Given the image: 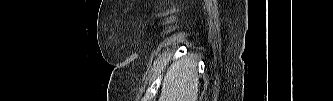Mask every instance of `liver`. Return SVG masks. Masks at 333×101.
<instances>
[{
	"instance_id": "6515ba94",
	"label": "liver",
	"mask_w": 333,
	"mask_h": 101,
	"mask_svg": "<svg viewBox=\"0 0 333 101\" xmlns=\"http://www.w3.org/2000/svg\"><path fill=\"white\" fill-rule=\"evenodd\" d=\"M197 63L192 57L176 61L164 78L159 101H197Z\"/></svg>"
}]
</instances>
